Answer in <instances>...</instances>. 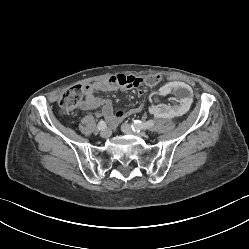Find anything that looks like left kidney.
Wrapping results in <instances>:
<instances>
[{"mask_svg": "<svg viewBox=\"0 0 249 249\" xmlns=\"http://www.w3.org/2000/svg\"><path fill=\"white\" fill-rule=\"evenodd\" d=\"M158 97L161 100H168V104H153L150 112L158 118H183L190 110L191 104L195 101V93L190 85L183 80L164 82L158 90Z\"/></svg>", "mask_w": 249, "mask_h": 249, "instance_id": "1", "label": "left kidney"}]
</instances>
